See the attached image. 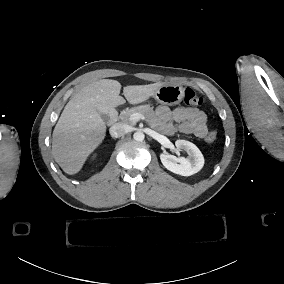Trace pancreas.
I'll return each instance as SVG.
<instances>
[{
  "mask_svg": "<svg viewBox=\"0 0 284 284\" xmlns=\"http://www.w3.org/2000/svg\"><path fill=\"white\" fill-rule=\"evenodd\" d=\"M133 113H140V114L144 115L147 120H149L151 117H153L155 115V113H154L153 109L150 107V105H140V106L133 107V108L126 109V110L122 111L120 113L119 118L124 123H128V124L133 125L134 123L129 120L130 116Z\"/></svg>",
  "mask_w": 284,
  "mask_h": 284,
  "instance_id": "cf45deb5",
  "label": "pancreas"
}]
</instances>
